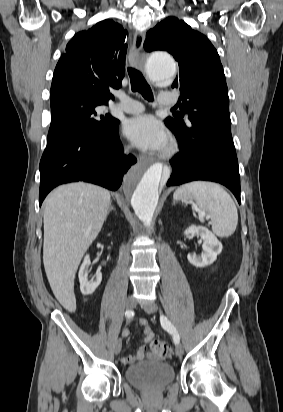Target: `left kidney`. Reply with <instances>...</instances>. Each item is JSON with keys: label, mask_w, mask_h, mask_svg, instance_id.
I'll list each match as a JSON object with an SVG mask.
<instances>
[{"label": "left kidney", "mask_w": 283, "mask_h": 412, "mask_svg": "<svg viewBox=\"0 0 283 412\" xmlns=\"http://www.w3.org/2000/svg\"><path fill=\"white\" fill-rule=\"evenodd\" d=\"M186 236L188 235H199L203 240V252L201 255L188 254V261L195 267L203 268L211 265L217 256L222 251V244L217 239V237L203 226H190L184 232Z\"/></svg>", "instance_id": "1"}]
</instances>
